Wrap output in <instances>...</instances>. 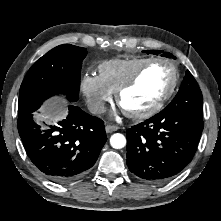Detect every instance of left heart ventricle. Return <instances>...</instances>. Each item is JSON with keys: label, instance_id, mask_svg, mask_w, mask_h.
<instances>
[{"label": "left heart ventricle", "instance_id": "1", "mask_svg": "<svg viewBox=\"0 0 221 221\" xmlns=\"http://www.w3.org/2000/svg\"><path fill=\"white\" fill-rule=\"evenodd\" d=\"M172 79L171 68L163 63L150 65L121 98L122 107L140 112L149 108L166 91Z\"/></svg>", "mask_w": 221, "mask_h": 221}]
</instances>
